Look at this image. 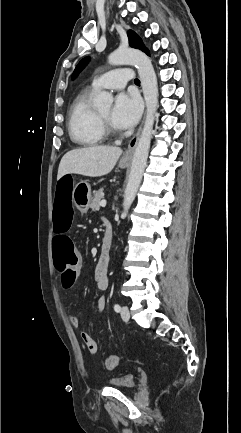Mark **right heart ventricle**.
<instances>
[{"label": "right heart ventricle", "instance_id": "right-heart-ventricle-1", "mask_svg": "<svg viewBox=\"0 0 241 433\" xmlns=\"http://www.w3.org/2000/svg\"><path fill=\"white\" fill-rule=\"evenodd\" d=\"M91 90L82 91L73 101L68 119L71 140L81 146H95L105 140L97 111L92 107Z\"/></svg>", "mask_w": 241, "mask_h": 433}]
</instances>
